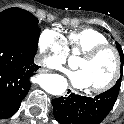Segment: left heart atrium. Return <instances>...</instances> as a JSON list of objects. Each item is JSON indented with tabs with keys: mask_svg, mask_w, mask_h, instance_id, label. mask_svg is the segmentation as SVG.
<instances>
[{
	"mask_svg": "<svg viewBox=\"0 0 124 124\" xmlns=\"http://www.w3.org/2000/svg\"><path fill=\"white\" fill-rule=\"evenodd\" d=\"M68 76L73 86L77 88H89V84L84 71L77 70L69 73Z\"/></svg>",
	"mask_w": 124,
	"mask_h": 124,
	"instance_id": "left-heart-atrium-1",
	"label": "left heart atrium"
}]
</instances>
